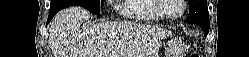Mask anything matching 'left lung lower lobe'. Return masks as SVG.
<instances>
[{
    "mask_svg": "<svg viewBox=\"0 0 249 57\" xmlns=\"http://www.w3.org/2000/svg\"><path fill=\"white\" fill-rule=\"evenodd\" d=\"M198 24L200 27H202V29L205 31V37L207 36L208 32H209V24H203V23H196Z\"/></svg>",
    "mask_w": 249,
    "mask_h": 57,
    "instance_id": "obj_1",
    "label": "left lung lower lobe"
}]
</instances>
